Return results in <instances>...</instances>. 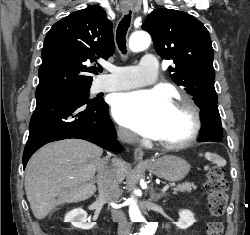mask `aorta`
<instances>
[{
  "label": "aorta",
  "mask_w": 250,
  "mask_h": 235,
  "mask_svg": "<svg viewBox=\"0 0 250 235\" xmlns=\"http://www.w3.org/2000/svg\"><path fill=\"white\" fill-rule=\"evenodd\" d=\"M151 43V37L146 32L133 33L129 39V47L132 51L144 50L149 47ZM137 191H135L136 193ZM129 216L132 222H146L142 216L136 200L131 197L129 199ZM158 227L157 222H146L141 228L138 235H154Z\"/></svg>",
  "instance_id": "aorta-1"
}]
</instances>
